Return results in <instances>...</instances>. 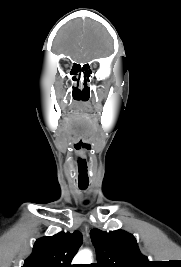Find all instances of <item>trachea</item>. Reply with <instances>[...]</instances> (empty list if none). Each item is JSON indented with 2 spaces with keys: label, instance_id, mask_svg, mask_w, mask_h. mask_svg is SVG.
I'll use <instances>...</instances> for the list:
<instances>
[{
  "label": "trachea",
  "instance_id": "1",
  "mask_svg": "<svg viewBox=\"0 0 181 267\" xmlns=\"http://www.w3.org/2000/svg\"><path fill=\"white\" fill-rule=\"evenodd\" d=\"M80 189L84 190L87 188V186H79Z\"/></svg>",
  "mask_w": 181,
  "mask_h": 267
}]
</instances>
